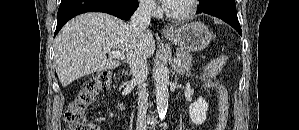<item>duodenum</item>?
I'll list each match as a JSON object with an SVG mask.
<instances>
[{"instance_id": "duodenum-1", "label": "duodenum", "mask_w": 299, "mask_h": 130, "mask_svg": "<svg viewBox=\"0 0 299 130\" xmlns=\"http://www.w3.org/2000/svg\"><path fill=\"white\" fill-rule=\"evenodd\" d=\"M118 106L122 111L127 110V104L122 99L119 100Z\"/></svg>"}]
</instances>
